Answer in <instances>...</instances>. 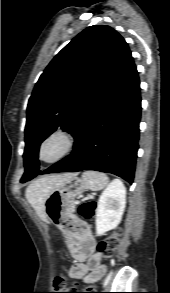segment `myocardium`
<instances>
[{"instance_id":"1","label":"myocardium","mask_w":170,"mask_h":293,"mask_svg":"<svg viewBox=\"0 0 170 293\" xmlns=\"http://www.w3.org/2000/svg\"><path fill=\"white\" fill-rule=\"evenodd\" d=\"M52 142H56L59 149L56 154L51 157L44 155L45 148ZM75 148L74 136L65 129H56L47 134L38 144L37 159L46 164L56 163L72 153Z\"/></svg>"}]
</instances>
